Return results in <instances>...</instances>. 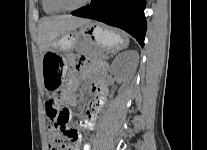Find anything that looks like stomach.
I'll return each instance as SVG.
<instances>
[{
  "label": "stomach",
  "mask_w": 207,
  "mask_h": 150,
  "mask_svg": "<svg viewBox=\"0 0 207 150\" xmlns=\"http://www.w3.org/2000/svg\"><path fill=\"white\" fill-rule=\"evenodd\" d=\"M129 39L123 32L110 30L96 23H87L80 28L56 38L43 54V81L45 88L53 90L63 85L67 60L65 55L75 47L90 59L101 61L104 52H116L127 47Z\"/></svg>",
  "instance_id": "stomach-1"
}]
</instances>
